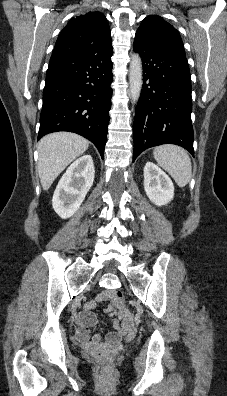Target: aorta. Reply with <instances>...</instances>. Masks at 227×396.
<instances>
[{
  "mask_svg": "<svg viewBox=\"0 0 227 396\" xmlns=\"http://www.w3.org/2000/svg\"><path fill=\"white\" fill-rule=\"evenodd\" d=\"M130 96L134 103L139 100L143 85L142 60L138 53L132 55L129 69Z\"/></svg>",
  "mask_w": 227,
  "mask_h": 396,
  "instance_id": "obj_1",
  "label": "aorta"
}]
</instances>
